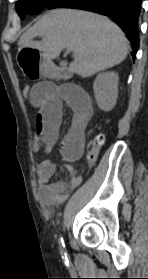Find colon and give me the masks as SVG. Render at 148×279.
<instances>
[{
	"instance_id": "colon-1",
	"label": "colon",
	"mask_w": 148,
	"mask_h": 279,
	"mask_svg": "<svg viewBox=\"0 0 148 279\" xmlns=\"http://www.w3.org/2000/svg\"><path fill=\"white\" fill-rule=\"evenodd\" d=\"M32 87L30 85H24L22 87V94L29 98L31 94ZM104 142V137L102 134H98L94 137V139L89 143L87 147V153H86V161L88 164H93L97 158L98 152Z\"/></svg>"
}]
</instances>
